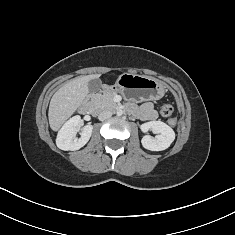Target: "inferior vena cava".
I'll return each mask as SVG.
<instances>
[{
    "label": "inferior vena cava",
    "mask_w": 235,
    "mask_h": 235,
    "mask_svg": "<svg viewBox=\"0 0 235 235\" xmlns=\"http://www.w3.org/2000/svg\"><path fill=\"white\" fill-rule=\"evenodd\" d=\"M112 116V112L110 110H103L99 113V120L104 121Z\"/></svg>",
    "instance_id": "inferior-vena-cava-1"
}]
</instances>
